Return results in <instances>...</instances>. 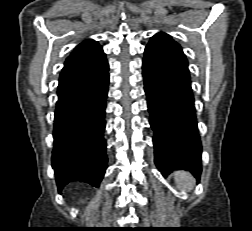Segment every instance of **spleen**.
<instances>
[{
    "mask_svg": "<svg viewBox=\"0 0 252 231\" xmlns=\"http://www.w3.org/2000/svg\"><path fill=\"white\" fill-rule=\"evenodd\" d=\"M174 179L177 187L184 191L192 190L195 185V179L189 172L178 171L175 173Z\"/></svg>",
    "mask_w": 252,
    "mask_h": 231,
    "instance_id": "spleen-1",
    "label": "spleen"
}]
</instances>
